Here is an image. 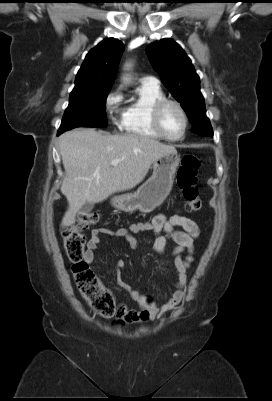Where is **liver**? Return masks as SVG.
Here are the masks:
<instances>
[{
  "mask_svg": "<svg viewBox=\"0 0 272 401\" xmlns=\"http://www.w3.org/2000/svg\"><path fill=\"white\" fill-rule=\"evenodd\" d=\"M66 172L61 192L68 201L62 226L75 223L76 213L86 203H98L115 192L130 190L143 181L153 162L174 146L149 137L111 135L93 128H76L59 137ZM119 159L117 166L111 162Z\"/></svg>",
  "mask_w": 272,
  "mask_h": 401,
  "instance_id": "obj_1",
  "label": "liver"
}]
</instances>
